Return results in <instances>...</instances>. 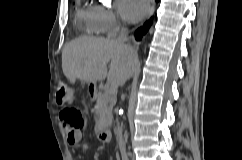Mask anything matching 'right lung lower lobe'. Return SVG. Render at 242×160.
Masks as SVG:
<instances>
[{"label":"right lung lower lobe","mask_w":242,"mask_h":160,"mask_svg":"<svg viewBox=\"0 0 242 160\" xmlns=\"http://www.w3.org/2000/svg\"><path fill=\"white\" fill-rule=\"evenodd\" d=\"M156 1L158 2L159 0H156ZM150 23H151V20L148 21V22H146V23L143 25L142 28H139V29L136 31L135 36H136V39H137V40L141 39L142 34H145V33L147 32V30H148L149 27H150Z\"/></svg>","instance_id":"98d812e1"}]
</instances>
